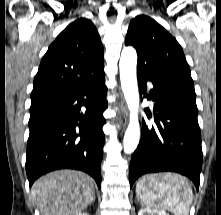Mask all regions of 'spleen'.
Listing matches in <instances>:
<instances>
[{
	"mask_svg": "<svg viewBox=\"0 0 221 215\" xmlns=\"http://www.w3.org/2000/svg\"><path fill=\"white\" fill-rule=\"evenodd\" d=\"M145 177L136 185L137 198L144 206L153 210H168L174 215L189 214L193 192L184 177L170 173L157 181L153 177L150 181Z\"/></svg>",
	"mask_w": 221,
	"mask_h": 215,
	"instance_id": "obj_1",
	"label": "spleen"
}]
</instances>
